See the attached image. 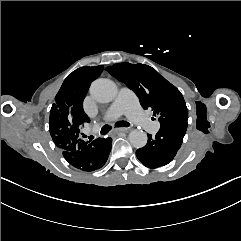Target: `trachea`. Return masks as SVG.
<instances>
[{"instance_id":"obj_1","label":"trachea","mask_w":241,"mask_h":241,"mask_svg":"<svg viewBox=\"0 0 241 241\" xmlns=\"http://www.w3.org/2000/svg\"><path fill=\"white\" fill-rule=\"evenodd\" d=\"M116 127H128L130 126V123H128L127 121H119L115 124ZM111 130V126L109 125H104L101 129V135H105L107 134L109 131ZM86 137V136H85ZM90 140H92L94 138V136H89L88 137Z\"/></svg>"}]
</instances>
